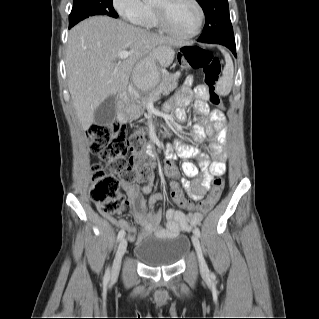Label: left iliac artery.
<instances>
[{
  "mask_svg": "<svg viewBox=\"0 0 319 319\" xmlns=\"http://www.w3.org/2000/svg\"><path fill=\"white\" fill-rule=\"evenodd\" d=\"M194 234H196L198 237H200V230L199 228L194 229ZM213 275V274H212Z\"/></svg>",
  "mask_w": 319,
  "mask_h": 319,
  "instance_id": "1",
  "label": "left iliac artery"
}]
</instances>
